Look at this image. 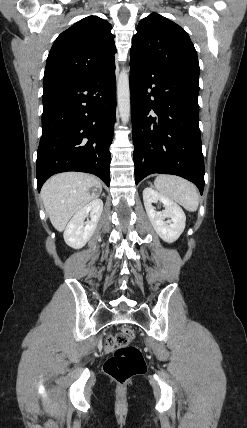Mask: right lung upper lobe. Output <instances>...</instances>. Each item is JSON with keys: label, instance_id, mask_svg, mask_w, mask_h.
Masks as SVG:
<instances>
[{"label": "right lung upper lobe", "instance_id": "right-lung-upper-lobe-1", "mask_svg": "<svg viewBox=\"0 0 247 428\" xmlns=\"http://www.w3.org/2000/svg\"><path fill=\"white\" fill-rule=\"evenodd\" d=\"M111 29L106 20L89 16L61 33L48 55L43 88L79 82L113 63L116 47Z\"/></svg>", "mask_w": 247, "mask_h": 428}]
</instances>
